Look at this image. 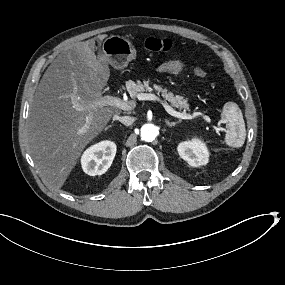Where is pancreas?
Returning <instances> with one entry per match:
<instances>
[{
    "label": "pancreas",
    "mask_w": 285,
    "mask_h": 285,
    "mask_svg": "<svg viewBox=\"0 0 285 285\" xmlns=\"http://www.w3.org/2000/svg\"><path fill=\"white\" fill-rule=\"evenodd\" d=\"M125 88L129 97H134L135 95H139L146 90L153 89L159 95L167 96V99L172 107L178 108L180 111L189 110L187 98H184L181 95H174L172 92L159 85H156L154 82L143 81L141 79L136 81H127Z\"/></svg>",
    "instance_id": "obj_1"
}]
</instances>
